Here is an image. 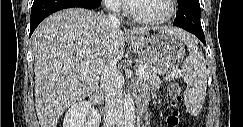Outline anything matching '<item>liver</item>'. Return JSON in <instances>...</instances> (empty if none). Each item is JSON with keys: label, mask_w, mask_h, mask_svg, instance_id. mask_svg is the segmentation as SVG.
<instances>
[{"label": "liver", "mask_w": 243, "mask_h": 127, "mask_svg": "<svg viewBox=\"0 0 243 127\" xmlns=\"http://www.w3.org/2000/svg\"><path fill=\"white\" fill-rule=\"evenodd\" d=\"M151 28H135L144 34ZM179 38L190 34L162 27ZM35 103L41 127H56L64 111L96 90L109 60L124 54L125 33L104 14L84 8L60 10L41 22L32 35ZM84 69H88L86 74Z\"/></svg>", "instance_id": "1"}]
</instances>
